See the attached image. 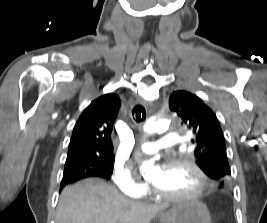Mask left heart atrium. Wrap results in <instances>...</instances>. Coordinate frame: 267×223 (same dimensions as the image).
Here are the masks:
<instances>
[{"label":"left heart atrium","instance_id":"1","mask_svg":"<svg viewBox=\"0 0 267 223\" xmlns=\"http://www.w3.org/2000/svg\"><path fill=\"white\" fill-rule=\"evenodd\" d=\"M161 173H162V168H159V169H158V173H157L155 179H159L160 176H161Z\"/></svg>","mask_w":267,"mask_h":223}]
</instances>
